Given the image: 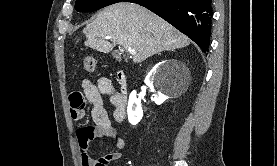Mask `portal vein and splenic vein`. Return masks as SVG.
I'll return each mask as SVG.
<instances>
[{"mask_svg": "<svg viewBox=\"0 0 277 166\" xmlns=\"http://www.w3.org/2000/svg\"><path fill=\"white\" fill-rule=\"evenodd\" d=\"M110 38H111L110 36H106V39H110ZM129 52L131 55H134L136 53L135 50L133 49H130Z\"/></svg>", "mask_w": 277, "mask_h": 166, "instance_id": "18ae733b", "label": "portal vein and splenic vein"}]
</instances>
